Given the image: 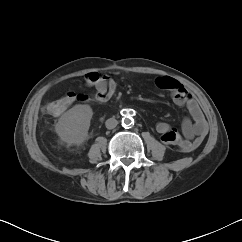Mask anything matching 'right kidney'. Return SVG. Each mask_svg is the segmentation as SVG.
I'll use <instances>...</instances> for the list:
<instances>
[{
	"mask_svg": "<svg viewBox=\"0 0 242 242\" xmlns=\"http://www.w3.org/2000/svg\"><path fill=\"white\" fill-rule=\"evenodd\" d=\"M92 116L89 105L78 104L66 111L55 127L60 140L68 145H82L88 139Z\"/></svg>",
	"mask_w": 242,
	"mask_h": 242,
	"instance_id": "right-kidney-1",
	"label": "right kidney"
}]
</instances>
